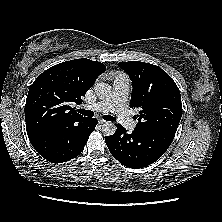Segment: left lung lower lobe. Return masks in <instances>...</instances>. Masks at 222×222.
<instances>
[{
    "mask_svg": "<svg viewBox=\"0 0 222 222\" xmlns=\"http://www.w3.org/2000/svg\"><path fill=\"white\" fill-rule=\"evenodd\" d=\"M175 133L166 130L134 129L131 134L117 124L115 134L105 138L111 154L130 168L146 167L157 161L168 149Z\"/></svg>",
    "mask_w": 222,
    "mask_h": 222,
    "instance_id": "1",
    "label": "left lung lower lobe"
}]
</instances>
